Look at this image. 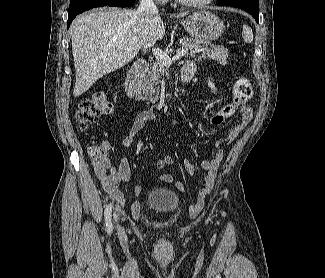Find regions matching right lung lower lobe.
Segmentation results:
<instances>
[{
    "instance_id": "right-lung-lower-lobe-1",
    "label": "right lung lower lobe",
    "mask_w": 325,
    "mask_h": 278,
    "mask_svg": "<svg viewBox=\"0 0 325 278\" xmlns=\"http://www.w3.org/2000/svg\"><path fill=\"white\" fill-rule=\"evenodd\" d=\"M135 0H71L68 12V23L67 28H69L71 22L76 17V15L95 7L101 6H131Z\"/></svg>"
}]
</instances>
